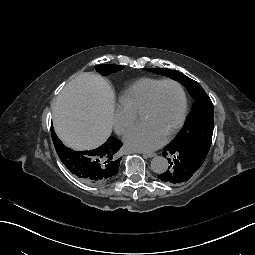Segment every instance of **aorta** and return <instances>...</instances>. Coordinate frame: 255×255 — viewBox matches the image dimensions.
<instances>
[{"instance_id":"762f6f07","label":"aorta","mask_w":255,"mask_h":255,"mask_svg":"<svg viewBox=\"0 0 255 255\" xmlns=\"http://www.w3.org/2000/svg\"><path fill=\"white\" fill-rule=\"evenodd\" d=\"M168 161L163 156H156L151 161V169L157 174H162L168 169Z\"/></svg>"}]
</instances>
